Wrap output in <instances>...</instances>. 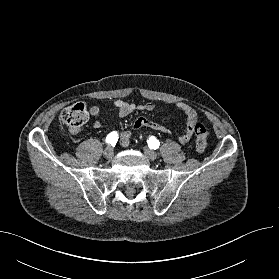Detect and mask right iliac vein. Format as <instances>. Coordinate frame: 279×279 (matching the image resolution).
Wrapping results in <instances>:
<instances>
[{
	"label": "right iliac vein",
	"instance_id": "1",
	"mask_svg": "<svg viewBox=\"0 0 279 279\" xmlns=\"http://www.w3.org/2000/svg\"><path fill=\"white\" fill-rule=\"evenodd\" d=\"M113 148L111 146H108L105 148L103 155L107 158V159H111L113 157Z\"/></svg>",
	"mask_w": 279,
	"mask_h": 279
}]
</instances>
